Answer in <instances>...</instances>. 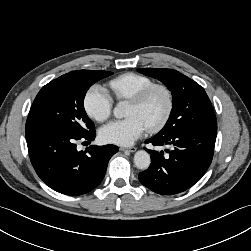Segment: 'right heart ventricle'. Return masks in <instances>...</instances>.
<instances>
[{"instance_id": "obj_1", "label": "right heart ventricle", "mask_w": 251, "mask_h": 251, "mask_svg": "<svg viewBox=\"0 0 251 251\" xmlns=\"http://www.w3.org/2000/svg\"><path fill=\"white\" fill-rule=\"evenodd\" d=\"M152 84L151 78L134 72L121 74L109 81V87L118 100L131 99Z\"/></svg>"}]
</instances>
